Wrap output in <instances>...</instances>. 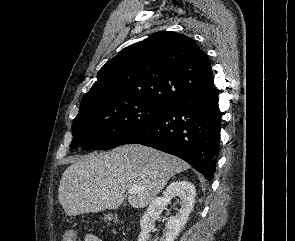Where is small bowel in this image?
Here are the masks:
<instances>
[{
	"label": "small bowel",
	"instance_id": "small-bowel-1",
	"mask_svg": "<svg viewBox=\"0 0 295 241\" xmlns=\"http://www.w3.org/2000/svg\"><path fill=\"white\" fill-rule=\"evenodd\" d=\"M85 241H98L96 238H94L93 236H86Z\"/></svg>",
	"mask_w": 295,
	"mask_h": 241
}]
</instances>
